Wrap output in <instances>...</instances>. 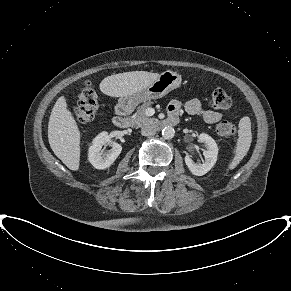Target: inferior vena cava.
I'll return each mask as SVG.
<instances>
[{
    "label": "inferior vena cava",
    "instance_id": "1",
    "mask_svg": "<svg viewBox=\"0 0 291 291\" xmlns=\"http://www.w3.org/2000/svg\"><path fill=\"white\" fill-rule=\"evenodd\" d=\"M155 133H156L155 128L153 126H150V125L144 126L141 129V134L143 136H153V135H155Z\"/></svg>",
    "mask_w": 291,
    "mask_h": 291
}]
</instances>
